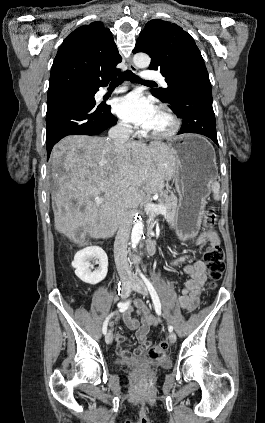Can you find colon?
<instances>
[{
  "mask_svg": "<svg viewBox=\"0 0 265 423\" xmlns=\"http://www.w3.org/2000/svg\"><path fill=\"white\" fill-rule=\"evenodd\" d=\"M216 215L213 209H208L205 213L204 223L207 227L214 225ZM203 260L207 266L210 278L209 288L214 289L216 282L222 277L225 271V257L222 248L217 244H210L206 247ZM169 343L163 339L148 350V356L155 361H163L167 358Z\"/></svg>",
  "mask_w": 265,
  "mask_h": 423,
  "instance_id": "obj_1",
  "label": "colon"
}]
</instances>
